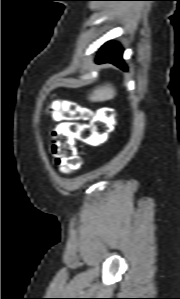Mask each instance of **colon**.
<instances>
[{"label": "colon", "instance_id": "5ec220e1", "mask_svg": "<svg viewBox=\"0 0 180 299\" xmlns=\"http://www.w3.org/2000/svg\"><path fill=\"white\" fill-rule=\"evenodd\" d=\"M59 113L65 121L53 132L51 152L60 170L72 172L81 166L76 141L87 144L104 142L111 133L115 120L109 109L93 117L88 108L72 102L61 104Z\"/></svg>", "mask_w": 180, "mask_h": 299}]
</instances>
